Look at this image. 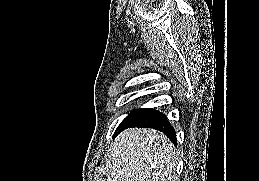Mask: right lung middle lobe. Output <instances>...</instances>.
I'll return each mask as SVG.
<instances>
[{
	"mask_svg": "<svg viewBox=\"0 0 259 181\" xmlns=\"http://www.w3.org/2000/svg\"><path fill=\"white\" fill-rule=\"evenodd\" d=\"M146 109L144 108H140L138 110H135L134 112H132L130 115H128V117L117 127L116 130H118L121 127H124L126 125H128L129 123H132L133 121H135L139 116H141L144 111Z\"/></svg>",
	"mask_w": 259,
	"mask_h": 181,
	"instance_id": "dd1d6c3e",
	"label": "right lung middle lobe"
}]
</instances>
